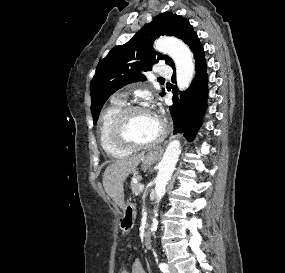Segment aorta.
Masks as SVG:
<instances>
[{"label":"aorta","mask_w":285,"mask_h":273,"mask_svg":"<svg viewBox=\"0 0 285 273\" xmlns=\"http://www.w3.org/2000/svg\"><path fill=\"white\" fill-rule=\"evenodd\" d=\"M155 50L167 53L174 61L176 66V79L177 86L180 90H185L190 85L194 75V62L193 55L189 47L181 40L173 37H164L158 39L154 44ZM180 142L173 140L169 143L162 161L159 164V171L155 179V194L156 203L159 204L160 200L166 192V186L170 180L172 173L178 161L180 154ZM155 217L152 220L151 231L157 230L158 216L157 210L154 211Z\"/></svg>","instance_id":"obj_1"}]
</instances>
